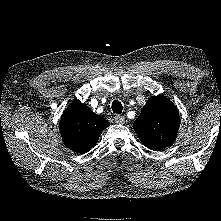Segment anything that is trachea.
Masks as SVG:
<instances>
[{"label":"trachea","instance_id":"obj_1","mask_svg":"<svg viewBox=\"0 0 221 221\" xmlns=\"http://www.w3.org/2000/svg\"><path fill=\"white\" fill-rule=\"evenodd\" d=\"M123 106L122 103L118 100L113 101L112 103V111L116 114L122 113Z\"/></svg>","mask_w":221,"mask_h":221}]
</instances>
